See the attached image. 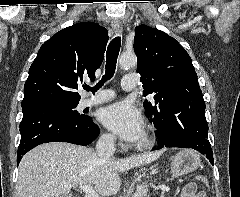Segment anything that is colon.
Masks as SVG:
<instances>
[{"label":"colon","instance_id":"colon-1","mask_svg":"<svg viewBox=\"0 0 240 197\" xmlns=\"http://www.w3.org/2000/svg\"><path fill=\"white\" fill-rule=\"evenodd\" d=\"M196 179H197L199 182H201V183H203V184H205V185L208 184V180H207V178H206L205 175L199 174V175H197Z\"/></svg>","mask_w":240,"mask_h":197}]
</instances>
